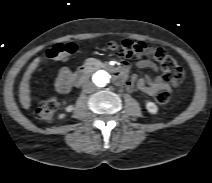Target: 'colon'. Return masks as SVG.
<instances>
[{"label":"colon","instance_id":"obj_1","mask_svg":"<svg viewBox=\"0 0 212 183\" xmlns=\"http://www.w3.org/2000/svg\"><path fill=\"white\" fill-rule=\"evenodd\" d=\"M107 48L117 53L123 58L143 57L147 56L154 59L163 72V77L168 82H177L183 78V71L178 65L177 60L163 48H153L142 42H133L125 40L122 42H110ZM76 51L73 43H58L52 46L47 55L51 59L64 60ZM155 100L159 104H165L169 101L170 94L167 90L158 91ZM58 100L56 97H49L41 101L35 107L37 117L44 121H51L58 110Z\"/></svg>","mask_w":212,"mask_h":183}]
</instances>
